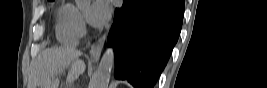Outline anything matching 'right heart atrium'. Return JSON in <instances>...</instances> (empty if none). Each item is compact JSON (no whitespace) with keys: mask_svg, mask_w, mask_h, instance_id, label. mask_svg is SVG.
<instances>
[{"mask_svg":"<svg viewBox=\"0 0 267 88\" xmlns=\"http://www.w3.org/2000/svg\"><path fill=\"white\" fill-rule=\"evenodd\" d=\"M74 29H75L77 38H81L84 36L85 26H84V22H83V19H82L80 14H78L76 19H75Z\"/></svg>","mask_w":267,"mask_h":88,"instance_id":"obj_1","label":"right heart atrium"}]
</instances>
